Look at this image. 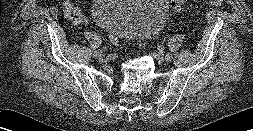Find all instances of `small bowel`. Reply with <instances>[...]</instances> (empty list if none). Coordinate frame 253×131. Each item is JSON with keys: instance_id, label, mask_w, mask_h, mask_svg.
<instances>
[{"instance_id": "obj_1", "label": "small bowel", "mask_w": 253, "mask_h": 131, "mask_svg": "<svg viewBox=\"0 0 253 131\" xmlns=\"http://www.w3.org/2000/svg\"><path fill=\"white\" fill-rule=\"evenodd\" d=\"M77 0H62L61 7L64 15L76 24L87 23L86 18L83 16L81 10L76 5Z\"/></svg>"}]
</instances>
